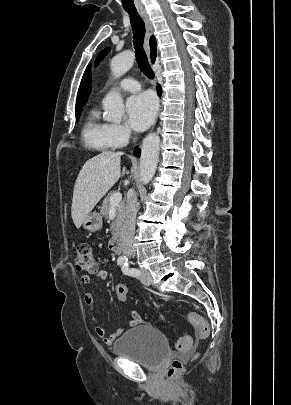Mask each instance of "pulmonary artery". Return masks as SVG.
Returning a JSON list of instances; mask_svg holds the SVG:
<instances>
[{
	"instance_id": "1",
	"label": "pulmonary artery",
	"mask_w": 291,
	"mask_h": 405,
	"mask_svg": "<svg viewBox=\"0 0 291 405\" xmlns=\"http://www.w3.org/2000/svg\"><path fill=\"white\" fill-rule=\"evenodd\" d=\"M118 87L124 91L136 92L139 91L141 86L138 81L132 78H124L118 83Z\"/></svg>"
}]
</instances>
